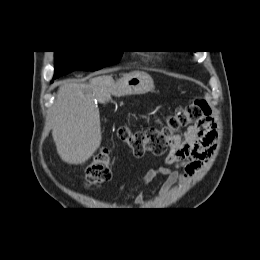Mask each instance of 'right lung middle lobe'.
Instances as JSON below:
<instances>
[{
	"label": "right lung middle lobe",
	"mask_w": 260,
	"mask_h": 260,
	"mask_svg": "<svg viewBox=\"0 0 260 260\" xmlns=\"http://www.w3.org/2000/svg\"><path fill=\"white\" fill-rule=\"evenodd\" d=\"M123 51H55L54 79L74 70H98L116 64Z\"/></svg>",
	"instance_id": "obj_1"
}]
</instances>
